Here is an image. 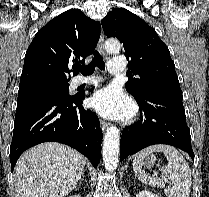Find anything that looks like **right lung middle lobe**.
Listing matches in <instances>:
<instances>
[{
    "label": "right lung middle lobe",
    "mask_w": 209,
    "mask_h": 197,
    "mask_svg": "<svg viewBox=\"0 0 209 197\" xmlns=\"http://www.w3.org/2000/svg\"><path fill=\"white\" fill-rule=\"evenodd\" d=\"M69 93L68 83H44L19 88L17 105L46 97H63Z\"/></svg>",
    "instance_id": "1"
}]
</instances>
